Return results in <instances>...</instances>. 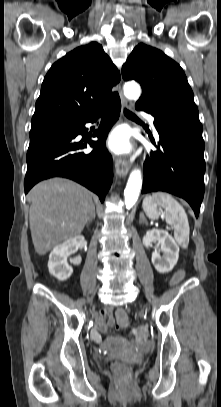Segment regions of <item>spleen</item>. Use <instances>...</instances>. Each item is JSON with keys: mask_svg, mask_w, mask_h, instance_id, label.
I'll use <instances>...</instances> for the list:
<instances>
[{"mask_svg": "<svg viewBox=\"0 0 221 407\" xmlns=\"http://www.w3.org/2000/svg\"><path fill=\"white\" fill-rule=\"evenodd\" d=\"M143 210L148 218H159L158 207L164 208L163 216L166 222L174 228V238L183 248L189 244V222L184 208L172 195L165 192H156L145 196L142 203Z\"/></svg>", "mask_w": 221, "mask_h": 407, "instance_id": "spleen-1", "label": "spleen"}]
</instances>
